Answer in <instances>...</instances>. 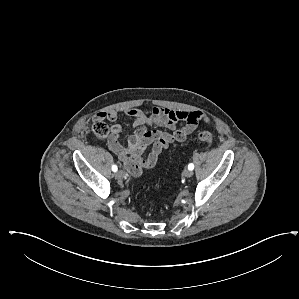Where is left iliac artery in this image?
<instances>
[{"label":"left iliac artery","mask_w":299,"mask_h":299,"mask_svg":"<svg viewBox=\"0 0 299 299\" xmlns=\"http://www.w3.org/2000/svg\"><path fill=\"white\" fill-rule=\"evenodd\" d=\"M188 169H189V170H193V169H194V164H193V163H190V164L188 165Z\"/></svg>","instance_id":"44dca946"}]
</instances>
